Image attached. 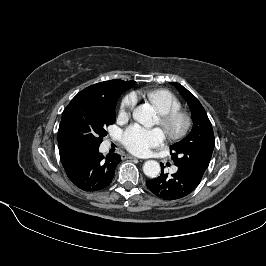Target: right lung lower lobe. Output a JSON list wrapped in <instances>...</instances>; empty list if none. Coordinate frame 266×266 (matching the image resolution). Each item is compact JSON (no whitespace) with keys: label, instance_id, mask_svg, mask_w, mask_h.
Wrapping results in <instances>:
<instances>
[{"label":"right lung lower lobe","instance_id":"right-lung-lower-lobe-1","mask_svg":"<svg viewBox=\"0 0 266 266\" xmlns=\"http://www.w3.org/2000/svg\"><path fill=\"white\" fill-rule=\"evenodd\" d=\"M68 178L84 191H99L107 187L121 161L119 154L104 157L99 146L68 149L60 152Z\"/></svg>","mask_w":266,"mask_h":266}]
</instances>
